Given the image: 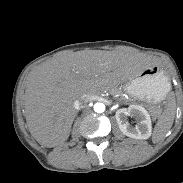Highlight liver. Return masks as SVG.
<instances>
[{"label":"liver","mask_w":183,"mask_h":183,"mask_svg":"<svg viewBox=\"0 0 183 183\" xmlns=\"http://www.w3.org/2000/svg\"><path fill=\"white\" fill-rule=\"evenodd\" d=\"M149 65L139 55L103 50L77 51L43 62L29 73L24 94L31 135L48 148L63 144L76 116V100L122 83Z\"/></svg>","instance_id":"6515ba94"}]
</instances>
